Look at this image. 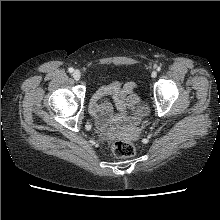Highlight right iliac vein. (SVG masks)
Returning <instances> with one entry per match:
<instances>
[{"instance_id": "1", "label": "right iliac vein", "mask_w": 220, "mask_h": 220, "mask_svg": "<svg viewBox=\"0 0 220 220\" xmlns=\"http://www.w3.org/2000/svg\"><path fill=\"white\" fill-rule=\"evenodd\" d=\"M72 75L75 80H79L81 78V72L79 70H75Z\"/></svg>"}]
</instances>
